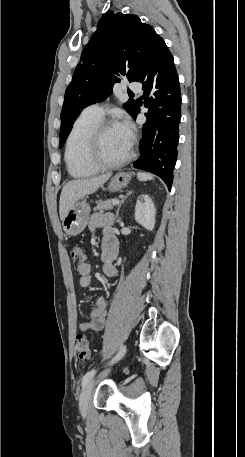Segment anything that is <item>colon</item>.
<instances>
[{"label":"colon","mask_w":245,"mask_h":457,"mask_svg":"<svg viewBox=\"0 0 245 457\" xmlns=\"http://www.w3.org/2000/svg\"><path fill=\"white\" fill-rule=\"evenodd\" d=\"M69 255L74 265L79 268L86 261V252L83 248L78 246L70 247ZM76 352L81 360H87L90 357V343L88 337L79 333L76 336L75 342Z\"/></svg>","instance_id":"colon-1"}]
</instances>
